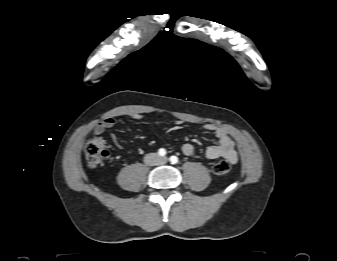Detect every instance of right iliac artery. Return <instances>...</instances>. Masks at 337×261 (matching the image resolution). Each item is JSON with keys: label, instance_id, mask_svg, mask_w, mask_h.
<instances>
[{"label": "right iliac artery", "instance_id": "1", "mask_svg": "<svg viewBox=\"0 0 337 261\" xmlns=\"http://www.w3.org/2000/svg\"><path fill=\"white\" fill-rule=\"evenodd\" d=\"M158 154H159L160 156H165V155H166V150L163 149V148H161V149H159Z\"/></svg>", "mask_w": 337, "mask_h": 261}]
</instances>
